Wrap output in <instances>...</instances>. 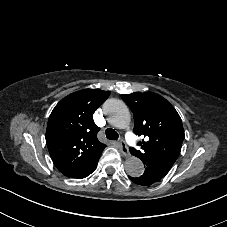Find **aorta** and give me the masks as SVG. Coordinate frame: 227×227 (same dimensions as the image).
<instances>
[{"mask_svg": "<svg viewBox=\"0 0 227 227\" xmlns=\"http://www.w3.org/2000/svg\"><path fill=\"white\" fill-rule=\"evenodd\" d=\"M103 111L114 127L125 129L129 126L131 116L123 101L109 99L103 105ZM125 171L131 177H139L144 173V164L139 158L131 156L125 161Z\"/></svg>", "mask_w": 227, "mask_h": 227, "instance_id": "aorta-1", "label": "aorta"}]
</instances>
